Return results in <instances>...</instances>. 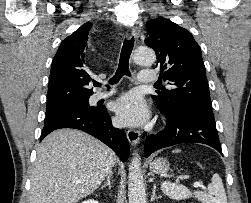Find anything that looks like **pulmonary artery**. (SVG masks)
<instances>
[{"label":"pulmonary artery","instance_id":"1","mask_svg":"<svg viewBox=\"0 0 251 203\" xmlns=\"http://www.w3.org/2000/svg\"><path fill=\"white\" fill-rule=\"evenodd\" d=\"M138 80L142 83H154L157 81V75L153 71H143L138 75ZM115 93V90L109 92H98L93 95L92 99L94 102L101 99L107 98Z\"/></svg>","mask_w":251,"mask_h":203}]
</instances>
